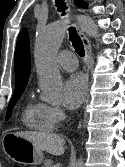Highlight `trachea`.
Here are the masks:
<instances>
[{"mask_svg": "<svg viewBox=\"0 0 125 167\" xmlns=\"http://www.w3.org/2000/svg\"><path fill=\"white\" fill-rule=\"evenodd\" d=\"M55 5L59 12H62V15H65V10L67 9V6L64 3V0H55ZM69 36L70 41L72 42V45L75 49V51L78 53L79 56H84V46L82 43V40L80 36L78 35L76 29L74 27H69Z\"/></svg>", "mask_w": 125, "mask_h": 167, "instance_id": "trachea-1", "label": "trachea"}]
</instances>
